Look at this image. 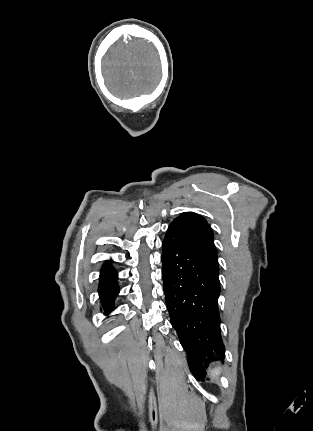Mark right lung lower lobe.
<instances>
[{
	"label": "right lung lower lobe",
	"mask_w": 313,
	"mask_h": 431,
	"mask_svg": "<svg viewBox=\"0 0 313 431\" xmlns=\"http://www.w3.org/2000/svg\"><path fill=\"white\" fill-rule=\"evenodd\" d=\"M111 262L103 265L98 288L101 306L105 315H108L115 309L114 300L119 293L117 271L112 267Z\"/></svg>",
	"instance_id": "obj_1"
}]
</instances>
